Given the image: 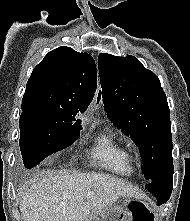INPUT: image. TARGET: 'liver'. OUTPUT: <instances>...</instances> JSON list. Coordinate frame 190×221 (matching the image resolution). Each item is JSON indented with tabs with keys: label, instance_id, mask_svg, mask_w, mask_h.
Returning <instances> with one entry per match:
<instances>
[{
	"label": "liver",
	"instance_id": "1",
	"mask_svg": "<svg viewBox=\"0 0 190 221\" xmlns=\"http://www.w3.org/2000/svg\"><path fill=\"white\" fill-rule=\"evenodd\" d=\"M139 195L129 183L107 174L47 170L22 191L19 207L24 221H87L90 212L97 214L119 197Z\"/></svg>",
	"mask_w": 190,
	"mask_h": 221
}]
</instances>
